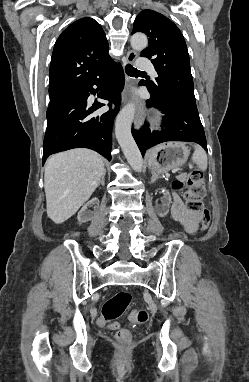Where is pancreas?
I'll use <instances>...</instances> for the list:
<instances>
[{"label": "pancreas", "instance_id": "obj_1", "mask_svg": "<svg viewBox=\"0 0 249 382\" xmlns=\"http://www.w3.org/2000/svg\"><path fill=\"white\" fill-rule=\"evenodd\" d=\"M185 179H186V175H180V176L178 177V180H179V181H185Z\"/></svg>", "mask_w": 249, "mask_h": 382}]
</instances>
